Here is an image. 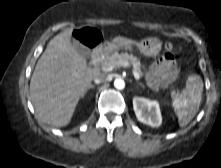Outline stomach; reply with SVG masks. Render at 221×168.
Here are the masks:
<instances>
[{"label": "stomach", "instance_id": "obj_1", "mask_svg": "<svg viewBox=\"0 0 221 168\" xmlns=\"http://www.w3.org/2000/svg\"><path fill=\"white\" fill-rule=\"evenodd\" d=\"M136 46L138 50L145 56L153 57V56H157L160 53L162 43L157 38L149 37L136 43ZM119 47L120 46L118 45H114L112 43L107 42L102 46V50L104 53L109 54V53L116 51Z\"/></svg>", "mask_w": 221, "mask_h": 168}]
</instances>
